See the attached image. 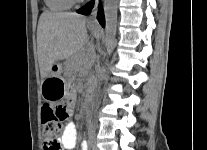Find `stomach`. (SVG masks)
Returning a JSON list of instances; mask_svg holds the SVG:
<instances>
[{"label": "stomach", "instance_id": "1", "mask_svg": "<svg viewBox=\"0 0 207 150\" xmlns=\"http://www.w3.org/2000/svg\"><path fill=\"white\" fill-rule=\"evenodd\" d=\"M91 32L94 36H98L99 32L96 28L90 26ZM61 65L58 63L53 64L50 75L42 81L41 91L46 100L54 101L57 99L65 98L72 92V87L60 75Z\"/></svg>", "mask_w": 207, "mask_h": 150}]
</instances>
